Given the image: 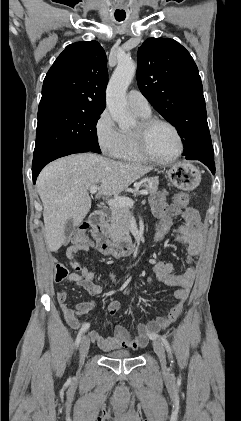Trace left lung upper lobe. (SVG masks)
Listing matches in <instances>:
<instances>
[{"label":"left lung upper lobe","instance_id":"obj_1","mask_svg":"<svg viewBox=\"0 0 241 421\" xmlns=\"http://www.w3.org/2000/svg\"><path fill=\"white\" fill-rule=\"evenodd\" d=\"M137 82L150 104L179 132L187 159L213 156L203 87L189 52L169 38H148L137 52Z\"/></svg>","mask_w":241,"mask_h":421}]
</instances>
